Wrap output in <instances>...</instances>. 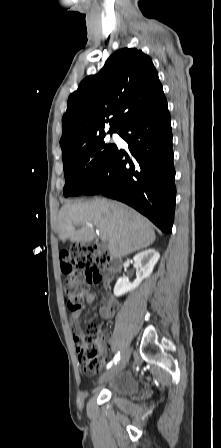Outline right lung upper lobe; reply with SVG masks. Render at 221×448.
<instances>
[{"label":"right lung upper lobe","mask_w":221,"mask_h":448,"mask_svg":"<svg viewBox=\"0 0 221 448\" xmlns=\"http://www.w3.org/2000/svg\"><path fill=\"white\" fill-rule=\"evenodd\" d=\"M163 95L150 57L136 48L116 51L99 73L87 76L69 96L62 118L63 159L105 136L108 125L109 133L119 132L131 116Z\"/></svg>","instance_id":"obj_1"}]
</instances>
